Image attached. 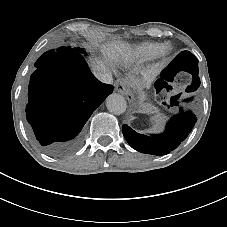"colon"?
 <instances>
[{"instance_id":"1","label":"colon","mask_w":227,"mask_h":227,"mask_svg":"<svg viewBox=\"0 0 227 227\" xmlns=\"http://www.w3.org/2000/svg\"><path fill=\"white\" fill-rule=\"evenodd\" d=\"M196 75V58L190 52H182L163 70L157 82V92L163 94L173 86L191 91L196 85Z\"/></svg>"}]
</instances>
